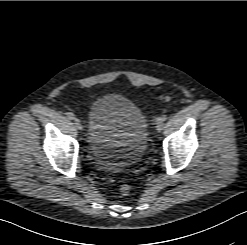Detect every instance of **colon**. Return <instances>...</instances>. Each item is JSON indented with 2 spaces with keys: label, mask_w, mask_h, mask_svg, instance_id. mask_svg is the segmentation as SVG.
Wrapping results in <instances>:
<instances>
[{
  "label": "colon",
  "mask_w": 247,
  "mask_h": 245,
  "mask_svg": "<svg viewBox=\"0 0 247 245\" xmlns=\"http://www.w3.org/2000/svg\"><path fill=\"white\" fill-rule=\"evenodd\" d=\"M120 192L122 195L127 196L131 192V186L127 183H124L120 186Z\"/></svg>",
  "instance_id": "colon-1"
}]
</instances>
